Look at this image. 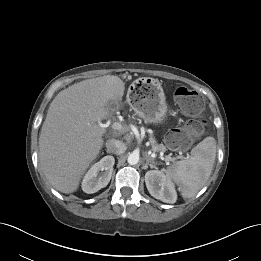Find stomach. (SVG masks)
Masks as SVG:
<instances>
[{"label": "stomach", "instance_id": "stomach-1", "mask_svg": "<svg viewBox=\"0 0 261 261\" xmlns=\"http://www.w3.org/2000/svg\"><path fill=\"white\" fill-rule=\"evenodd\" d=\"M138 83H134L135 87ZM136 113L147 124L161 123L167 117L168 105L161 83L156 79H143L139 93L130 96Z\"/></svg>", "mask_w": 261, "mask_h": 261}]
</instances>
